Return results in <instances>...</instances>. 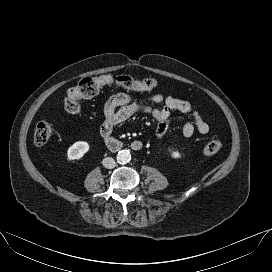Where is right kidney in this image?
<instances>
[{"instance_id": "ca27d5eb", "label": "right kidney", "mask_w": 272, "mask_h": 272, "mask_svg": "<svg viewBox=\"0 0 272 272\" xmlns=\"http://www.w3.org/2000/svg\"><path fill=\"white\" fill-rule=\"evenodd\" d=\"M88 150L89 144L87 142H75L67 151V159L70 161L81 159Z\"/></svg>"}]
</instances>
